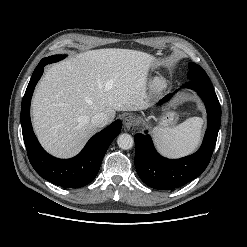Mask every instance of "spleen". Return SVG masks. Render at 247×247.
<instances>
[{"label": "spleen", "instance_id": "3e777b00", "mask_svg": "<svg viewBox=\"0 0 247 247\" xmlns=\"http://www.w3.org/2000/svg\"><path fill=\"white\" fill-rule=\"evenodd\" d=\"M203 119L192 117L173 128L155 127L154 142L164 156L178 158L192 153L201 140Z\"/></svg>", "mask_w": 247, "mask_h": 247}]
</instances>
